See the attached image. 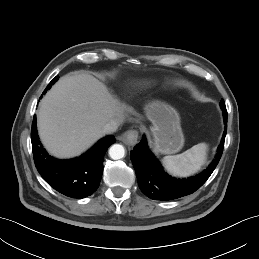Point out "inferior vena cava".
<instances>
[{"instance_id": "602c4592", "label": "inferior vena cava", "mask_w": 259, "mask_h": 259, "mask_svg": "<svg viewBox=\"0 0 259 259\" xmlns=\"http://www.w3.org/2000/svg\"><path fill=\"white\" fill-rule=\"evenodd\" d=\"M121 122L119 120H111L107 124L104 125L103 131L104 133H113L120 126Z\"/></svg>"}]
</instances>
